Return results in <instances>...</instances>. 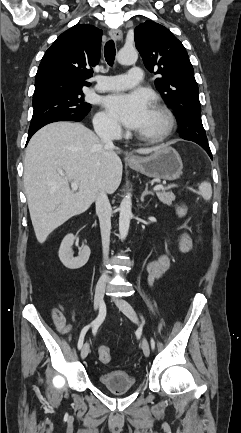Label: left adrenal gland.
<instances>
[{
    "label": "left adrenal gland",
    "mask_w": 241,
    "mask_h": 433,
    "mask_svg": "<svg viewBox=\"0 0 241 433\" xmlns=\"http://www.w3.org/2000/svg\"><path fill=\"white\" fill-rule=\"evenodd\" d=\"M147 195H154L152 191H149V190H148V183H146L145 190L143 191V193H142V195H141V198H140L141 202H144V198H145V196H147Z\"/></svg>",
    "instance_id": "obj_1"
}]
</instances>
